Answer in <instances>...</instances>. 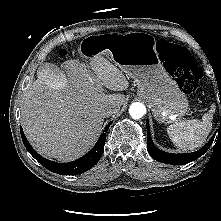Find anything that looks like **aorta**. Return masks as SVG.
Listing matches in <instances>:
<instances>
[{
    "instance_id": "aorta-1",
    "label": "aorta",
    "mask_w": 221,
    "mask_h": 221,
    "mask_svg": "<svg viewBox=\"0 0 221 221\" xmlns=\"http://www.w3.org/2000/svg\"><path fill=\"white\" fill-rule=\"evenodd\" d=\"M129 114L133 119H139L146 114V107L140 102L132 103L129 108Z\"/></svg>"
}]
</instances>
